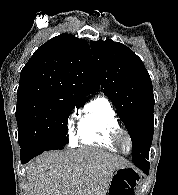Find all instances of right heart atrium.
Returning <instances> with one entry per match:
<instances>
[{
	"label": "right heart atrium",
	"instance_id": "d8ad5b80",
	"mask_svg": "<svg viewBox=\"0 0 178 195\" xmlns=\"http://www.w3.org/2000/svg\"><path fill=\"white\" fill-rule=\"evenodd\" d=\"M68 128H69L70 144L74 145L78 139V127L76 126V119H75L74 112L70 113L68 117Z\"/></svg>",
	"mask_w": 178,
	"mask_h": 195
}]
</instances>
